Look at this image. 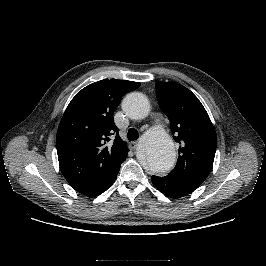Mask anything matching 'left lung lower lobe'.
<instances>
[{
  "label": "left lung lower lobe",
  "mask_w": 266,
  "mask_h": 266,
  "mask_svg": "<svg viewBox=\"0 0 266 266\" xmlns=\"http://www.w3.org/2000/svg\"><path fill=\"white\" fill-rule=\"evenodd\" d=\"M152 182L163 194L174 199L188 195L199 187L171 175L152 176Z\"/></svg>",
  "instance_id": "left-lung-lower-lobe-1"
}]
</instances>
